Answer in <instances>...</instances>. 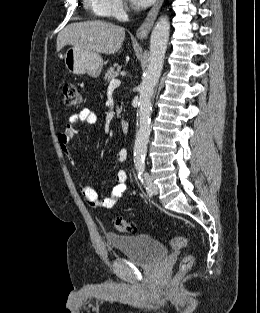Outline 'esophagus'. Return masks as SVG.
<instances>
[{"instance_id":"obj_1","label":"esophagus","mask_w":260,"mask_h":313,"mask_svg":"<svg viewBox=\"0 0 260 313\" xmlns=\"http://www.w3.org/2000/svg\"><path fill=\"white\" fill-rule=\"evenodd\" d=\"M162 3H163V0H157L156 1L154 6L149 11L147 17L145 18L144 22L138 28V30L136 32V36L139 39H144L149 34V32H150V30L154 24V21L156 19V16L160 10Z\"/></svg>"}]
</instances>
